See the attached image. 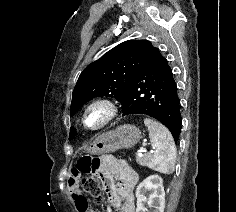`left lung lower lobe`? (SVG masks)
I'll list each match as a JSON object with an SVG mask.
<instances>
[{
	"label": "left lung lower lobe",
	"mask_w": 236,
	"mask_h": 212,
	"mask_svg": "<svg viewBox=\"0 0 236 212\" xmlns=\"http://www.w3.org/2000/svg\"><path fill=\"white\" fill-rule=\"evenodd\" d=\"M120 103L123 115L151 116L164 124L177 142L182 123L177 85L166 58L151 43Z\"/></svg>",
	"instance_id": "1"
}]
</instances>
